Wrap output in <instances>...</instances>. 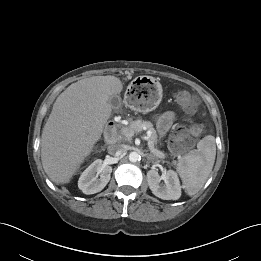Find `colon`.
<instances>
[{"label": "colon", "instance_id": "obj_1", "mask_svg": "<svg viewBox=\"0 0 261 261\" xmlns=\"http://www.w3.org/2000/svg\"><path fill=\"white\" fill-rule=\"evenodd\" d=\"M174 98L178 105L186 112H193L198 106V100L193 93L186 89L177 88L174 90ZM200 130L198 125H191L187 128H179L170 138V149L175 154L189 150L194 143L192 134Z\"/></svg>", "mask_w": 261, "mask_h": 261}]
</instances>
